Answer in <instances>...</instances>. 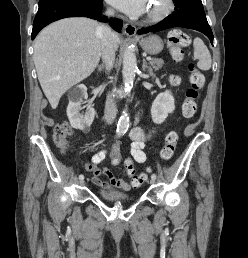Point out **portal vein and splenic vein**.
I'll return each mask as SVG.
<instances>
[{"mask_svg": "<svg viewBox=\"0 0 248 258\" xmlns=\"http://www.w3.org/2000/svg\"><path fill=\"white\" fill-rule=\"evenodd\" d=\"M146 60H147V61H151L152 58H151V57H146Z\"/></svg>", "mask_w": 248, "mask_h": 258, "instance_id": "obj_1", "label": "portal vein and splenic vein"}]
</instances>
